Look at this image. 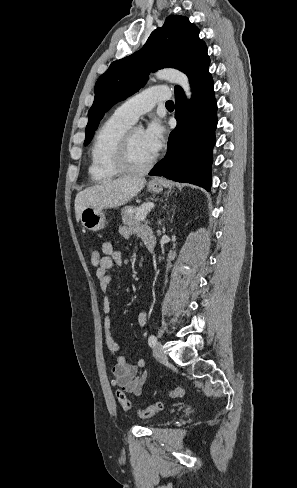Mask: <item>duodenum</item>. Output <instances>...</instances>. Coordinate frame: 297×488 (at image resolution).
<instances>
[{
  "label": "duodenum",
  "mask_w": 297,
  "mask_h": 488,
  "mask_svg": "<svg viewBox=\"0 0 297 488\" xmlns=\"http://www.w3.org/2000/svg\"><path fill=\"white\" fill-rule=\"evenodd\" d=\"M148 250L150 251V253H153L154 252V247L153 246H149L148 247Z\"/></svg>",
  "instance_id": "410a0bca"
}]
</instances>
